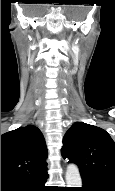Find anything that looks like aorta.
<instances>
[{
    "instance_id": "aorta-1",
    "label": "aorta",
    "mask_w": 115,
    "mask_h": 191,
    "mask_svg": "<svg viewBox=\"0 0 115 191\" xmlns=\"http://www.w3.org/2000/svg\"><path fill=\"white\" fill-rule=\"evenodd\" d=\"M65 179L68 187H81L82 185L80 172L75 164H70L67 166Z\"/></svg>"
}]
</instances>
